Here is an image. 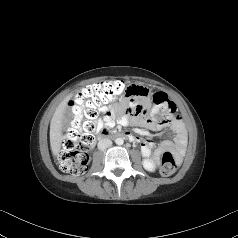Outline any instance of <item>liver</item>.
<instances>
[{
  "label": "liver",
  "mask_w": 238,
  "mask_h": 238,
  "mask_svg": "<svg viewBox=\"0 0 238 238\" xmlns=\"http://www.w3.org/2000/svg\"><path fill=\"white\" fill-rule=\"evenodd\" d=\"M72 95H68L56 108L50 123V146L52 153L59 155L62 141V119Z\"/></svg>",
  "instance_id": "6515ba94"
}]
</instances>
